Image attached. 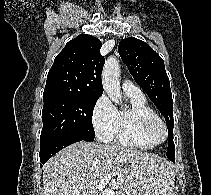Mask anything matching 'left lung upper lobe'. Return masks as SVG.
I'll list each match as a JSON object with an SVG mask.
<instances>
[{
	"instance_id": "left-lung-upper-lobe-1",
	"label": "left lung upper lobe",
	"mask_w": 211,
	"mask_h": 195,
	"mask_svg": "<svg viewBox=\"0 0 211 195\" xmlns=\"http://www.w3.org/2000/svg\"><path fill=\"white\" fill-rule=\"evenodd\" d=\"M118 52L136 83L164 116L169 137L166 155L172 160L175 158L173 103L163 59L147 43L134 37L122 39Z\"/></svg>"
}]
</instances>
